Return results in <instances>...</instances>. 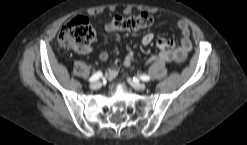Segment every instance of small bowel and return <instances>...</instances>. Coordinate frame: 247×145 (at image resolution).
<instances>
[{
    "label": "small bowel",
    "mask_w": 247,
    "mask_h": 145,
    "mask_svg": "<svg viewBox=\"0 0 247 145\" xmlns=\"http://www.w3.org/2000/svg\"><path fill=\"white\" fill-rule=\"evenodd\" d=\"M177 28L180 32V42L178 45L167 38H157L155 40V36L153 33L144 34L140 42L142 45H149L155 40L156 47L159 49V54L157 56H153L149 59L150 63L155 62H174V63H183L188 53L192 48V43L190 40V29L186 21L179 20L177 22ZM105 29L107 32H112L113 30L109 27L108 24L105 25ZM80 54H88L92 51V47L88 46L83 50H76ZM109 55L107 52L103 51L99 54V60L101 62H105L108 59ZM131 55L127 56V61H129ZM119 73V69L117 67H111L106 71V78L111 81L117 77Z\"/></svg>",
    "instance_id": "obj_1"
}]
</instances>
